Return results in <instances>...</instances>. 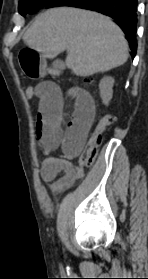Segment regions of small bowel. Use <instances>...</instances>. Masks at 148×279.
Returning <instances> with one entry per match:
<instances>
[{"label":"small bowel","mask_w":148,"mask_h":279,"mask_svg":"<svg viewBox=\"0 0 148 279\" xmlns=\"http://www.w3.org/2000/svg\"><path fill=\"white\" fill-rule=\"evenodd\" d=\"M34 97L38 100L36 137L47 156L40 175L52 192L62 193L84 177V169L76 167L71 160L86 143L95 116L94 100L83 88L72 86L63 90L52 82L38 84ZM67 99L72 101L74 111L65 124ZM58 148L62 156H52Z\"/></svg>","instance_id":"c3829d8e"}]
</instances>
